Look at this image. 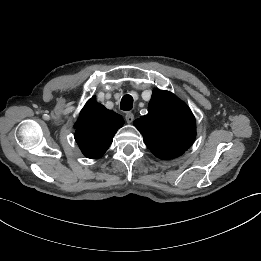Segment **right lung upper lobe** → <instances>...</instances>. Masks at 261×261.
I'll use <instances>...</instances> for the list:
<instances>
[{"instance_id":"obj_1","label":"right lung upper lobe","mask_w":261,"mask_h":261,"mask_svg":"<svg viewBox=\"0 0 261 261\" xmlns=\"http://www.w3.org/2000/svg\"><path fill=\"white\" fill-rule=\"evenodd\" d=\"M124 124L123 118L91 98L75 124V140L88 158H99L109 148L113 136Z\"/></svg>"}]
</instances>
